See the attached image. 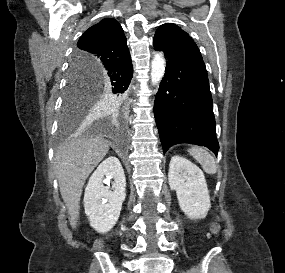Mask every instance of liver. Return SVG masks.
<instances>
[{
	"mask_svg": "<svg viewBox=\"0 0 285 273\" xmlns=\"http://www.w3.org/2000/svg\"><path fill=\"white\" fill-rule=\"evenodd\" d=\"M109 146V141L102 137L75 138L60 146L55 153L54 170L73 229L79 218L84 183L106 156Z\"/></svg>",
	"mask_w": 285,
	"mask_h": 273,
	"instance_id": "1",
	"label": "liver"
}]
</instances>
